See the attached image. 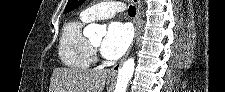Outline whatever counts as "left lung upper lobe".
Returning a JSON list of instances; mask_svg holds the SVG:
<instances>
[{"instance_id":"left-lung-upper-lobe-1","label":"left lung upper lobe","mask_w":225,"mask_h":92,"mask_svg":"<svg viewBox=\"0 0 225 92\" xmlns=\"http://www.w3.org/2000/svg\"><path fill=\"white\" fill-rule=\"evenodd\" d=\"M86 0H69L67 6L65 7L64 13L70 12L73 9L79 7Z\"/></svg>"}]
</instances>
